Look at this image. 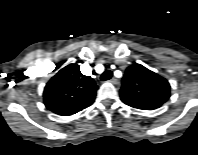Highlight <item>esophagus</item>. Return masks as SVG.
<instances>
[{"instance_id": "obj_1", "label": "esophagus", "mask_w": 198, "mask_h": 155, "mask_svg": "<svg viewBox=\"0 0 198 155\" xmlns=\"http://www.w3.org/2000/svg\"><path fill=\"white\" fill-rule=\"evenodd\" d=\"M110 83L112 84H117V79L116 78H112L109 80Z\"/></svg>"}]
</instances>
